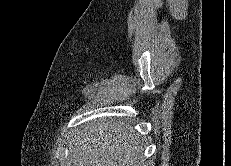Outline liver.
Masks as SVG:
<instances>
[{"label":"liver","instance_id":"1","mask_svg":"<svg viewBox=\"0 0 231 166\" xmlns=\"http://www.w3.org/2000/svg\"><path fill=\"white\" fill-rule=\"evenodd\" d=\"M73 166H141V139L129 125L112 119L87 123L69 142Z\"/></svg>","mask_w":231,"mask_h":166}]
</instances>
